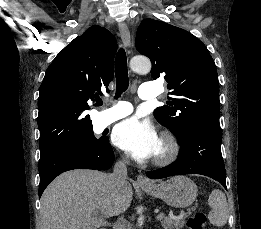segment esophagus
I'll return each instance as SVG.
<instances>
[{"instance_id":"1","label":"esophagus","mask_w":261,"mask_h":229,"mask_svg":"<svg viewBox=\"0 0 261 229\" xmlns=\"http://www.w3.org/2000/svg\"><path fill=\"white\" fill-rule=\"evenodd\" d=\"M118 29H119V33L121 35V38H122L124 45L126 47H130V45H131V35H130L128 27L126 26V24L124 22H119ZM137 183L139 185H146V186H150L152 184V182L149 181V179H147V177H145L142 174H139L137 176Z\"/></svg>"}]
</instances>
